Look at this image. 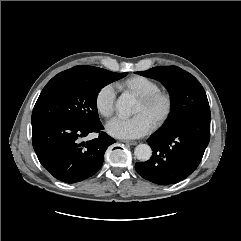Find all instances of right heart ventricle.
I'll return each instance as SVG.
<instances>
[{"mask_svg":"<svg viewBox=\"0 0 241 241\" xmlns=\"http://www.w3.org/2000/svg\"><path fill=\"white\" fill-rule=\"evenodd\" d=\"M116 86L121 90L132 93L138 98L159 89L158 84L154 80L141 75L129 77L117 83Z\"/></svg>","mask_w":241,"mask_h":241,"instance_id":"obj_1","label":"right heart ventricle"}]
</instances>
